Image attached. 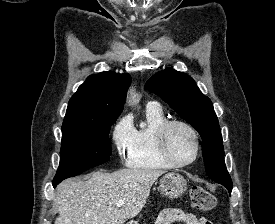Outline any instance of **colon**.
<instances>
[{
    "label": "colon",
    "mask_w": 275,
    "mask_h": 224,
    "mask_svg": "<svg viewBox=\"0 0 275 224\" xmlns=\"http://www.w3.org/2000/svg\"><path fill=\"white\" fill-rule=\"evenodd\" d=\"M190 200L192 207L199 211H209L216 205L215 196L199 186L191 188Z\"/></svg>",
    "instance_id": "obj_1"
}]
</instances>
